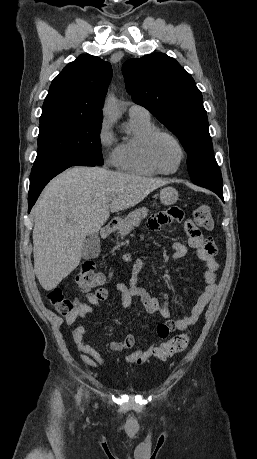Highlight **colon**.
I'll list each match as a JSON object with an SVG mask.
<instances>
[{
    "mask_svg": "<svg viewBox=\"0 0 257 459\" xmlns=\"http://www.w3.org/2000/svg\"><path fill=\"white\" fill-rule=\"evenodd\" d=\"M194 222L198 227L206 230L213 228V217L210 206L200 205L194 212ZM196 235V234H195ZM105 281V275L96 271L95 265L90 262H84L76 275V283L83 291H90L93 288L99 290L98 296L105 298L106 293L99 287ZM48 298L56 310L62 315H69L76 309L74 301L66 298L60 288L50 291ZM189 344V336L186 333L178 334L166 342L155 347L154 355L160 360H164L177 353L184 351Z\"/></svg>",
    "mask_w": 257,
    "mask_h": 459,
    "instance_id": "colon-1",
    "label": "colon"
}]
</instances>
